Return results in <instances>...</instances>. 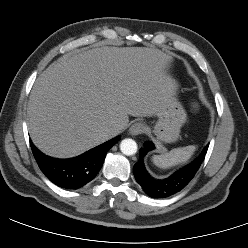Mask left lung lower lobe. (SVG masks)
<instances>
[{"instance_id":"0a47b994","label":"left lung lower lobe","mask_w":248,"mask_h":248,"mask_svg":"<svg viewBox=\"0 0 248 248\" xmlns=\"http://www.w3.org/2000/svg\"><path fill=\"white\" fill-rule=\"evenodd\" d=\"M154 148L151 141L144 143V147L140 149V158L134 165L133 174L137 183L149 197L166 198L181 191L193 179L205 159L208 145L204 147L199 156L192 162L165 179L153 178L144 167V156L149 150Z\"/></svg>"}]
</instances>
